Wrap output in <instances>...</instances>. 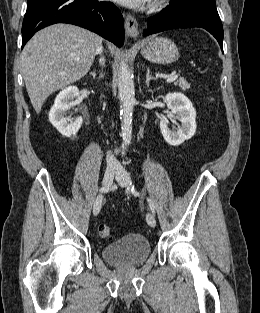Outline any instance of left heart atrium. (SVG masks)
<instances>
[{"mask_svg": "<svg viewBox=\"0 0 260 313\" xmlns=\"http://www.w3.org/2000/svg\"><path fill=\"white\" fill-rule=\"evenodd\" d=\"M115 1L130 8H139L148 3L150 0H115Z\"/></svg>", "mask_w": 260, "mask_h": 313, "instance_id": "1", "label": "left heart atrium"}]
</instances>
